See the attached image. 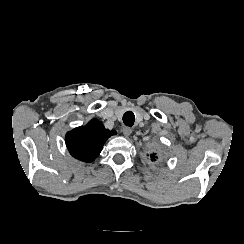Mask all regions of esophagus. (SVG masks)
Masks as SVG:
<instances>
[{
    "label": "esophagus",
    "mask_w": 244,
    "mask_h": 244,
    "mask_svg": "<svg viewBox=\"0 0 244 244\" xmlns=\"http://www.w3.org/2000/svg\"><path fill=\"white\" fill-rule=\"evenodd\" d=\"M122 133H123L125 136H129V135H131L132 130H131V128H129V127H123V128H122Z\"/></svg>",
    "instance_id": "obj_1"
}]
</instances>
